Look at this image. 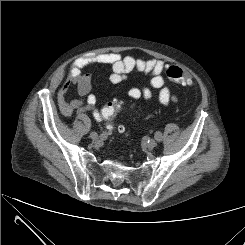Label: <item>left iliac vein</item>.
Listing matches in <instances>:
<instances>
[{
	"mask_svg": "<svg viewBox=\"0 0 245 245\" xmlns=\"http://www.w3.org/2000/svg\"><path fill=\"white\" fill-rule=\"evenodd\" d=\"M157 146V141L155 140V139H150L149 140V143H148V147L150 148V149H153V148H155Z\"/></svg>",
	"mask_w": 245,
	"mask_h": 245,
	"instance_id": "4c4485c4",
	"label": "left iliac vein"
}]
</instances>
